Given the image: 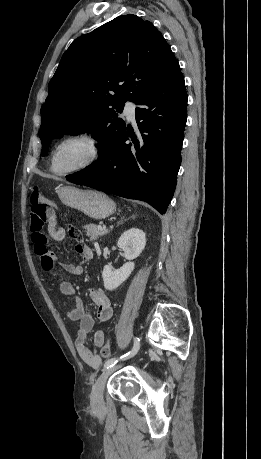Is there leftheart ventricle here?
<instances>
[{
	"label": "left heart ventricle",
	"instance_id": "1",
	"mask_svg": "<svg viewBox=\"0 0 261 459\" xmlns=\"http://www.w3.org/2000/svg\"><path fill=\"white\" fill-rule=\"evenodd\" d=\"M86 155L87 147L83 142H68L56 152L53 159V167L57 171L70 169L82 162Z\"/></svg>",
	"mask_w": 261,
	"mask_h": 459
}]
</instances>
